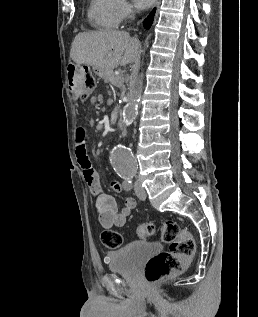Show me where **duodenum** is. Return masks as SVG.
Listing matches in <instances>:
<instances>
[{"mask_svg": "<svg viewBox=\"0 0 258 317\" xmlns=\"http://www.w3.org/2000/svg\"><path fill=\"white\" fill-rule=\"evenodd\" d=\"M67 84L70 92L78 93L82 84V70L75 66L67 67Z\"/></svg>", "mask_w": 258, "mask_h": 317, "instance_id": "obj_1", "label": "duodenum"}]
</instances>
